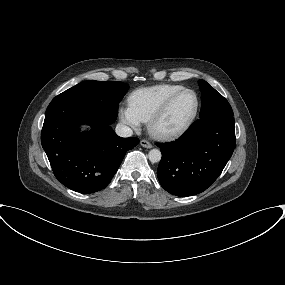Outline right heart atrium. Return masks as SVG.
Instances as JSON below:
<instances>
[{
  "mask_svg": "<svg viewBox=\"0 0 285 285\" xmlns=\"http://www.w3.org/2000/svg\"><path fill=\"white\" fill-rule=\"evenodd\" d=\"M119 118L123 124L132 129L139 128L141 124L140 119L129 105L121 106L119 108Z\"/></svg>",
  "mask_w": 285,
  "mask_h": 285,
  "instance_id": "right-heart-atrium-1",
  "label": "right heart atrium"
}]
</instances>
